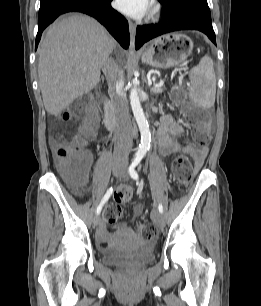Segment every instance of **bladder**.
Instances as JSON below:
<instances>
[{"label":"bladder","instance_id":"1","mask_svg":"<svg viewBox=\"0 0 261 306\" xmlns=\"http://www.w3.org/2000/svg\"><path fill=\"white\" fill-rule=\"evenodd\" d=\"M127 234L138 239L131 229L119 231L116 241L101 250V261L104 264L141 267L153 261L155 244L143 240L135 246L123 245L121 242L126 239Z\"/></svg>","mask_w":261,"mask_h":306}]
</instances>
